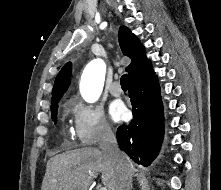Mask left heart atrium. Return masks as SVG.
<instances>
[{
    "label": "left heart atrium",
    "instance_id": "1",
    "mask_svg": "<svg viewBox=\"0 0 221 190\" xmlns=\"http://www.w3.org/2000/svg\"><path fill=\"white\" fill-rule=\"evenodd\" d=\"M109 114L113 121L119 122L127 118L128 110L122 101L115 100L109 106Z\"/></svg>",
    "mask_w": 221,
    "mask_h": 190
}]
</instances>
